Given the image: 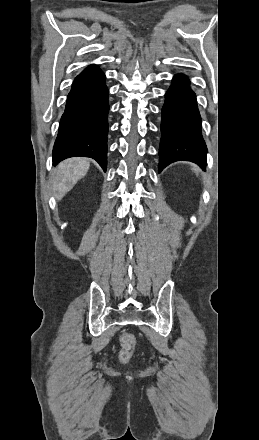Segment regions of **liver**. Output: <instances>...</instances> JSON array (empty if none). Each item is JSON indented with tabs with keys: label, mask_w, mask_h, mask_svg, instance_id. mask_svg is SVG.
<instances>
[{
	"label": "liver",
	"mask_w": 259,
	"mask_h": 440,
	"mask_svg": "<svg viewBox=\"0 0 259 440\" xmlns=\"http://www.w3.org/2000/svg\"><path fill=\"white\" fill-rule=\"evenodd\" d=\"M89 167V160L83 157H73L59 163L53 173L56 198L61 200L87 174Z\"/></svg>",
	"instance_id": "1"
}]
</instances>
